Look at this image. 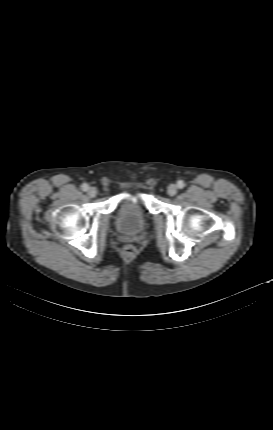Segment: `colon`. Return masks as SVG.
I'll list each match as a JSON object with an SVG mask.
<instances>
[{"label":"colon","instance_id":"1","mask_svg":"<svg viewBox=\"0 0 273 430\" xmlns=\"http://www.w3.org/2000/svg\"><path fill=\"white\" fill-rule=\"evenodd\" d=\"M134 252H135V248L133 245H126L123 248V254L127 257L132 256L134 254Z\"/></svg>","mask_w":273,"mask_h":430}]
</instances>
